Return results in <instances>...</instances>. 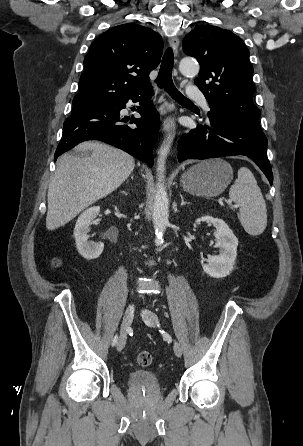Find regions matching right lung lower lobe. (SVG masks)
Instances as JSON below:
<instances>
[{
    "instance_id": "98d812e1",
    "label": "right lung lower lobe",
    "mask_w": 303,
    "mask_h": 446,
    "mask_svg": "<svg viewBox=\"0 0 303 446\" xmlns=\"http://www.w3.org/2000/svg\"><path fill=\"white\" fill-rule=\"evenodd\" d=\"M152 95V90H148L110 105L72 113L64 122L63 136L56 149L54 161L82 141L100 140L126 151L152 167L153 148L159 128V116L150 102ZM129 100L141 105L137 110L141 118L131 119L136 127L124 124L129 119L120 117V110L126 107Z\"/></svg>"
}]
</instances>
